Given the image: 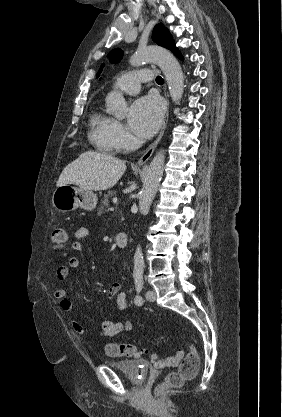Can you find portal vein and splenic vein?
<instances>
[{
  "instance_id": "portal-vein-and-splenic-vein-1",
  "label": "portal vein and splenic vein",
  "mask_w": 282,
  "mask_h": 417,
  "mask_svg": "<svg viewBox=\"0 0 282 417\" xmlns=\"http://www.w3.org/2000/svg\"><path fill=\"white\" fill-rule=\"evenodd\" d=\"M113 202H117V198H116V196H115V198H113Z\"/></svg>"
}]
</instances>
